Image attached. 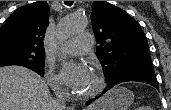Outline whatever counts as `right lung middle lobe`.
Instances as JSON below:
<instances>
[{"label":"right lung middle lobe","instance_id":"1","mask_svg":"<svg viewBox=\"0 0 171 110\" xmlns=\"http://www.w3.org/2000/svg\"><path fill=\"white\" fill-rule=\"evenodd\" d=\"M45 50L23 47L15 43H0V67L19 65L44 74Z\"/></svg>","mask_w":171,"mask_h":110}]
</instances>
